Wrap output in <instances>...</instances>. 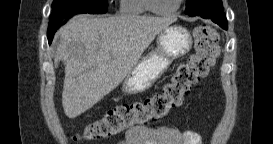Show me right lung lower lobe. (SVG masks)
I'll list each match as a JSON object with an SVG mask.
<instances>
[{"mask_svg":"<svg viewBox=\"0 0 273 144\" xmlns=\"http://www.w3.org/2000/svg\"><path fill=\"white\" fill-rule=\"evenodd\" d=\"M65 22H66V20H64V21L62 22V24H64ZM62 24H61V25H62ZM54 34H55V33L48 35L49 44L52 42V39H53V37H54Z\"/></svg>","mask_w":273,"mask_h":144,"instance_id":"right-lung-lower-lobe-1","label":"right lung lower lobe"}]
</instances>
